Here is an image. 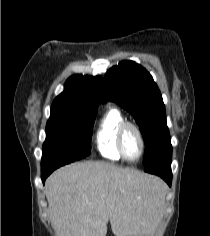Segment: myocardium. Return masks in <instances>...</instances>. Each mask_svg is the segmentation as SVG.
<instances>
[{
  "label": "myocardium",
  "mask_w": 210,
  "mask_h": 236,
  "mask_svg": "<svg viewBox=\"0 0 210 236\" xmlns=\"http://www.w3.org/2000/svg\"><path fill=\"white\" fill-rule=\"evenodd\" d=\"M128 128H132V129L135 130V132L137 133V135L139 137V141H140V151H139L138 156L134 159L128 158L125 155L124 150H123V136H124L125 131ZM116 146H117V150H118V152H119V154H120V156L122 157L123 160H125L127 162H136V161H138L142 157V155L144 153V150H145V139H144V136H143V133H142L140 127L136 123L131 122V121L122 122L120 124V126L118 127V131H117Z\"/></svg>",
  "instance_id": "1"
}]
</instances>
